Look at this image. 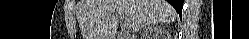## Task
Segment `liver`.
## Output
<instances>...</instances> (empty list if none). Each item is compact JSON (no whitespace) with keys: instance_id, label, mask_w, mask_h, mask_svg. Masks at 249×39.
I'll list each match as a JSON object with an SVG mask.
<instances>
[{"instance_id":"liver-1","label":"liver","mask_w":249,"mask_h":39,"mask_svg":"<svg viewBox=\"0 0 249 39\" xmlns=\"http://www.w3.org/2000/svg\"><path fill=\"white\" fill-rule=\"evenodd\" d=\"M177 13L164 0H83L79 22L84 39H114L119 18L126 28L175 21Z\"/></svg>"}]
</instances>
